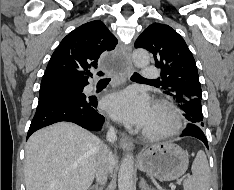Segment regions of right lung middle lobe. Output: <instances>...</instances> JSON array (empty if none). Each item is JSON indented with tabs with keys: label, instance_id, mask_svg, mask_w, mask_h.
<instances>
[{
	"label": "right lung middle lobe",
	"instance_id": "1",
	"mask_svg": "<svg viewBox=\"0 0 234 190\" xmlns=\"http://www.w3.org/2000/svg\"><path fill=\"white\" fill-rule=\"evenodd\" d=\"M65 82H66V80L58 79V78L48 79V80L42 81L41 87H40V96H42L44 93H46L47 91H49L55 87H58L60 85L65 84Z\"/></svg>",
	"mask_w": 234,
	"mask_h": 190
}]
</instances>
